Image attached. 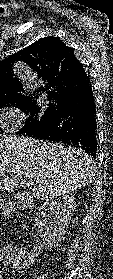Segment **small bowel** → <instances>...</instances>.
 Listing matches in <instances>:
<instances>
[{
	"mask_svg": "<svg viewBox=\"0 0 113 279\" xmlns=\"http://www.w3.org/2000/svg\"><path fill=\"white\" fill-rule=\"evenodd\" d=\"M9 265H10L11 267H19V266L22 265V261H21L19 258L15 257V258L9 263ZM0 279H2L1 274H0Z\"/></svg>",
	"mask_w": 113,
	"mask_h": 279,
	"instance_id": "1",
	"label": "small bowel"
}]
</instances>
